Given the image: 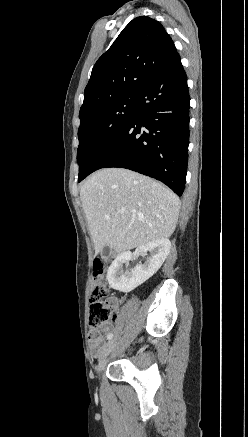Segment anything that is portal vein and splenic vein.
Here are the masks:
<instances>
[{
    "instance_id": "portal-vein-and-splenic-vein-1",
    "label": "portal vein and splenic vein",
    "mask_w": 248,
    "mask_h": 437,
    "mask_svg": "<svg viewBox=\"0 0 248 437\" xmlns=\"http://www.w3.org/2000/svg\"><path fill=\"white\" fill-rule=\"evenodd\" d=\"M120 212H121V213H124V210H121Z\"/></svg>"
}]
</instances>
